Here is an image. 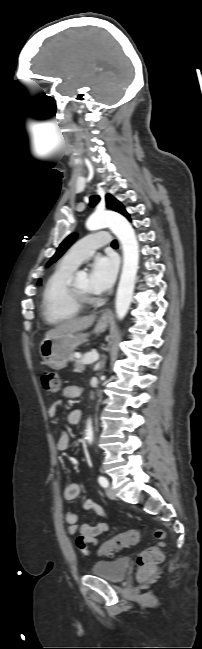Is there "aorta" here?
Returning <instances> with one entry per match:
<instances>
[{"label":"aorta","instance_id":"1","mask_svg":"<svg viewBox=\"0 0 202 649\" xmlns=\"http://www.w3.org/2000/svg\"><path fill=\"white\" fill-rule=\"evenodd\" d=\"M86 227L90 231L109 227L122 245L123 267L115 301L117 318L122 320L132 301L138 271L139 244L134 229L123 215L114 211L95 212L88 218ZM85 439L88 443L93 442V428L90 419L86 424Z\"/></svg>","mask_w":202,"mask_h":649}]
</instances>
